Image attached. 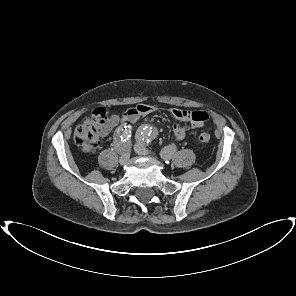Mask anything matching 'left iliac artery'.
I'll use <instances>...</instances> for the list:
<instances>
[{
    "label": "left iliac artery",
    "instance_id": "left-iliac-artery-1",
    "mask_svg": "<svg viewBox=\"0 0 296 296\" xmlns=\"http://www.w3.org/2000/svg\"><path fill=\"white\" fill-rule=\"evenodd\" d=\"M154 138V132L151 128L146 126L145 128H141L136 134V139L140 141H145V143L149 144L151 140Z\"/></svg>",
    "mask_w": 296,
    "mask_h": 296
}]
</instances>
